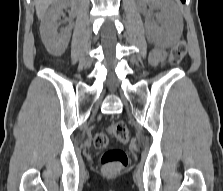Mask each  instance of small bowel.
<instances>
[{
    "instance_id": "small-bowel-1",
    "label": "small bowel",
    "mask_w": 223,
    "mask_h": 191,
    "mask_svg": "<svg viewBox=\"0 0 223 191\" xmlns=\"http://www.w3.org/2000/svg\"><path fill=\"white\" fill-rule=\"evenodd\" d=\"M166 58V52L163 48H155L151 51L149 60L151 64L158 66L160 65Z\"/></svg>"
}]
</instances>
